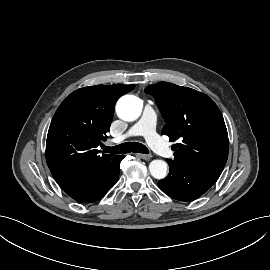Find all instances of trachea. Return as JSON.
I'll return each instance as SVG.
<instances>
[{"label":"trachea","instance_id":"trachea-1","mask_svg":"<svg viewBox=\"0 0 270 270\" xmlns=\"http://www.w3.org/2000/svg\"><path fill=\"white\" fill-rule=\"evenodd\" d=\"M104 151L111 154H126L130 152L143 154L149 153L147 147L138 142H127L114 147H105Z\"/></svg>","mask_w":270,"mask_h":270}]
</instances>
